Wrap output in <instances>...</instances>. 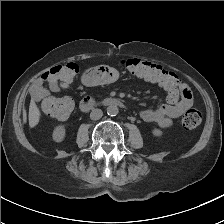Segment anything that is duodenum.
Listing matches in <instances>:
<instances>
[{"instance_id":"obj_1","label":"duodenum","mask_w":224,"mask_h":224,"mask_svg":"<svg viewBox=\"0 0 224 224\" xmlns=\"http://www.w3.org/2000/svg\"><path fill=\"white\" fill-rule=\"evenodd\" d=\"M97 104L103 105L105 107H113V106H121L122 102L119 99L112 97H106L99 101H95L91 97H87L81 100L79 108L82 112H88Z\"/></svg>"}]
</instances>
